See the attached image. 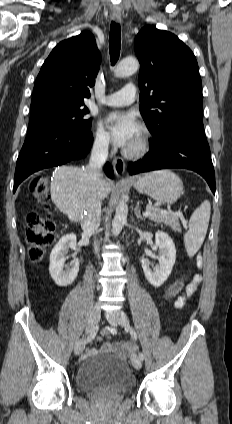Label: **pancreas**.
Returning <instances> with one entry per match:
<instances>
[{
  "label": "pancreas",
  "mask_w": 232,
  "mask_h": 424,
  "mask_svg": "<svg viewBox=\"0 0 232 424\" xmlns=\"http://www.w3.org/2000/svg\"><path fill=\"white\" fill-rule=\"evenodd\" d=\"M146 210L151 212V215L149 216L150 220L157 223H163L171 227L174 231L180 230V216L177 213H173L171 211H165V213H163L161 209L154 206H147Z\"/></svg>",
  "instance_id": "obj_1"
}]
</instances>
